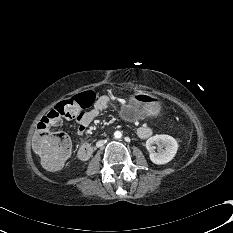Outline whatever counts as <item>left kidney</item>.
<instances>
[{"instance_id":"5707ae66","label":"left kidney","mask_w":233,"mask_h":233,"mask_svg":"<svg viewBox=\"0 0 233 233\" xmlns=\"http://www.w3.org/2000/svg\"><path fill=\"white\" fill-rule=\"evenodd\" d=\"M161 143L164 149H159L158 152L152 150L153 144ZM146 148L150 152V160L157 165H163L170 162L177 153L178 143L169 135H155L146 141Z\"/></svg>"}]
</instances>
